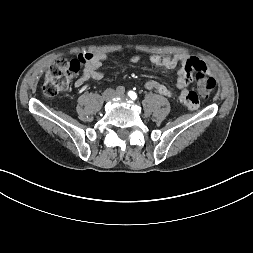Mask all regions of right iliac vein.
<instances>
[{"label": "right iliac vein", "instance_id": "63e3f726", "mask_svg": "<svg viewBox=\"0 0 253 253\" xmlns=\"http://www.w3.org/2000/svg\"><path fill=\"white\" fill-rule=\"evenodd\" d=\"M115 96V92L112 89H108L103 93V99L105 101L111 100Z\"/></svg>", "mask_w": 253, "mask_h": 253}]
</instances>
